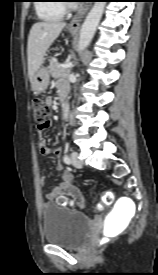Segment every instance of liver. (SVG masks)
<instances>
[{
  "label": "liver",
  "mask_w": 158,
  "mask_h": 275,
  "mask_svg": "<svg viewBox=\"0 0 158 275\" xmlns=\"http://www.w3.org/2000/svg\"><path fill=\"white\" fill-rule=\"evenodd\" d=\"M65 26V23L57 21H42L32 26L27 45L28 75L30 81H32L35 72L43 64L46 51Z\"/></svg>",
  "instance_id": "1"
}]
</instances>
